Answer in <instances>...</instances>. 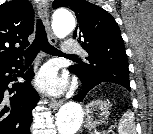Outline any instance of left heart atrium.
Here are the masks:
<instances>
[{
  "instance_id": "obj_1",
  "label": "left heart atrium",
  "mask_w": 153,
  "mask_h": 134,
  "mask_svg": "<svg viewBox=\"0 0 153 134\" xmlns=\"http://www.w3.org/2000/svg\"><path fill=\"white\" fill-rule=\"evenodd\" d=\"M36 85L49 94H60L66 87V81L61 78L53 67H44L36 78Z\"/></svg>"
}]
</instances>
